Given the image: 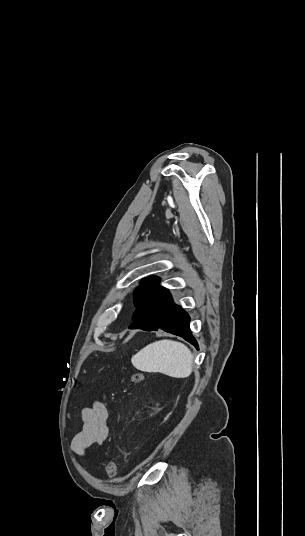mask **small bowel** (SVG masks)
<instances>
[{
	"label": "small bowel",
	"mask_w": 305,
	"mask_h": 536,
	"mask_svg": "<svg viewBox=\"0 0 305 536\" xmlns=\"http://www.w3.org/2000/svg\"><path fill=\"white\" fill-rule=\"evenodd\" d=\"M109 412L105 403L95 402L82 410V429L73 439L74 451L82 455L93 444H101L108 436L106 425Z\"/></svg>",
	"instance_id": "1"
}]
</instances>
